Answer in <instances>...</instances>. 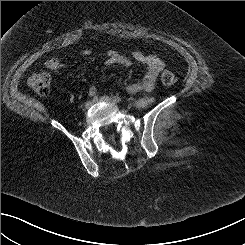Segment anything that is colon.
<instances>
[{
  "instance_id": "5ec220e1",
  "label": "colon",
  "mask_w": 245,
  "mask_h": 245,
  "mask_svg": "<svg viewBox=\"0 0 245 245\" xmlns=\"http://www.w3.org/2000/svg\"><path fill=\"white\" fill-rule=\"evenodd\" d=\"M161 81L165 86H171L177 81L176 75L169 70L162 73ZM51 77L50 74L44 70L39 69L27 79L28 87L37 95L46 97L50 93Z\"/></svg>"
}]
</instances>
